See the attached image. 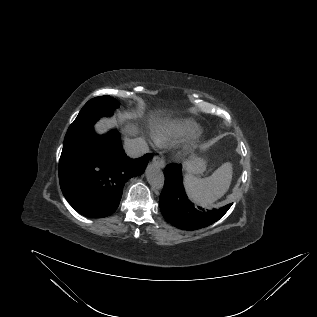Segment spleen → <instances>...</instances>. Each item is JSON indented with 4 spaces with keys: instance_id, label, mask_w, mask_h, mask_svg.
<instances>
[{
    "instance_id": "spleen-1",
    "label": "spleen",
    "mask_w": 317,
    "mask_h": 317,
    "mask_svg": "<svg viewBox=\"0 0 317 317\" xmlns=\"http://www.w3.org/2000/svg\"><path fill=\"white\" fill-rule=\"evenodd\" d=\"M232 180V165H221L211 176L197 178L190 174L184 177L188 196L195 203L206 207L221 198L229 189Z\"/></svg>"
}]
</instances>
